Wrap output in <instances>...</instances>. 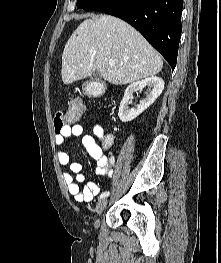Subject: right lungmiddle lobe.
I'll return each instance as SVG.
<instances>
[{"label": "right lung middle lobe", "mask_w": 221, "mask_h": 263, "mask_svg": "<svg viewBox=\"0 0 221 263\" xmlns=\"http://www.w3.org/2000/svg\"><path fill=\"white\" fill-rule=\"evenodd\" d=\"M103 0H77V9L91 11L96 8Z\"/></svg>", "instance_id": "dd1d6c3e"}]
</instances>
